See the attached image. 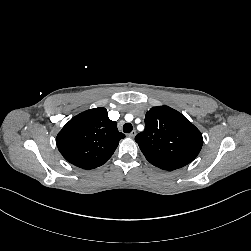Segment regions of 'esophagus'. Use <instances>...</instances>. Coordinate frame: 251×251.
<instances>
[{"label": "esophagus", "instance_id": "1", "mask_svg": "<svg viewBox=\"0 0 251 251\" xmlns=\"http://www.w3.org/2000/svg\"><path fill=\"white\" fill-rule=\"evenodd\" d=\"M128 136H129L130 138H134V137L136 136V130H133L132 132H130V133L128 134Z\"/></svg>", "mask_w": 251, "mask_h": 251}]
</instances>
